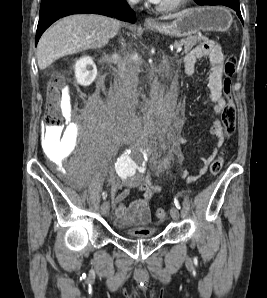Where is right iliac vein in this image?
I'll use <instances>...</instances> for the list:
<instances>
[{
    "label": "right iliac vein",
    "instance_id": "1",
    "mask_svg": "<svg viewBox=\"0 0 267 298\" xmlns=\"http://www.w3.org/2000/svg\"><path fill=\"white\" fill-rule=\"evenodd\" d=\"M109 210H110V205H109V202L108 201H104L102 204H101V213L103 215H107L109 213Z\"/></svg>",
    "mask_w": 267,
    "mask_h": 298
}]
</instances>
